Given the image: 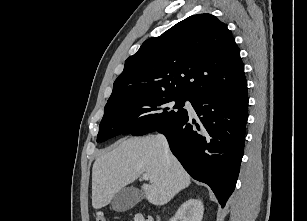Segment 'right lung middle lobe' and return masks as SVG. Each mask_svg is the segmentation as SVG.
<instances>
[{"instance_id":"1","label":"right lung middle lobe","mask_w":307,"mask_h":221,"mask_svg":"<svg viewBox=\"0 0 307 221\" xmlns=\"http://www.w3.org/2000/svg\"><path fill=\"white\" fill-rule=\"evenodd\" d=\"M185 101L172 94L145 93L106 104L97 142L120 134L140 136L175 124L188 115Z\"/></svg>"}]
</instances>
